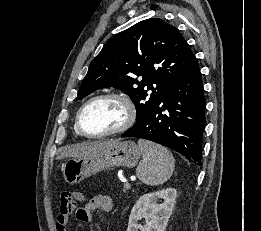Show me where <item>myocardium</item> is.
Instances as JSON below:
<instances>
[{"label": "myocardium", "mask_w": 261, "mask_h": 231, "mask_svg": "<svg viewBox=\"0 0 261 231\" xmlns=\"http://www.w3.org/2000/svg\"><path fill=\"white\" fill-rule=\"evenodd\" d=\"M109 98L119 100L124 105L125 110H126L125 122L120 127L107 131V132H104V133L90 134V133H87L86 131H84L82 128V125H81V117H82L84 110L95 101H98L101 99H109ZM136 116H137V110L130 97H128L127 95L122 94V93L108 92V93H103V94L96 95V96L90 98L79 108V110L76 114V118H75V127H76V130L78 131V133L83 137L104 138V137H108V136H112V135L121 134V133H124L127 130H129L133 126V124L136 120Z\"/></svg>", "instance_id": "f54148a6"}]
</instances>
